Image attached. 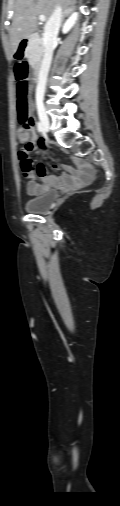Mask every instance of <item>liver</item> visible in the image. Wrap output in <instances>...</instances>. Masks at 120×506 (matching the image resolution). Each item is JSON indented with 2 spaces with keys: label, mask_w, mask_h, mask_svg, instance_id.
Returning <instances> with one entry per match:
<instances>
[{
  "label": "liver",
  "mask_w": 120,
  "mask_h": 506,
  "mask_svg": "<svg viewBox=\"0 0 120 506\" xmlns=\"http://www.w3.org/2000/svg\"><path fill=\"white\" fill-rule=\"evenodd\" d=\"M75 0H15L13 21L10 28L12 53L18 49L22 39L37 29L38 16L50 18L58 5L65 7Z\"/></svg>",
  "instance_id": "1"
}]
</instances>
